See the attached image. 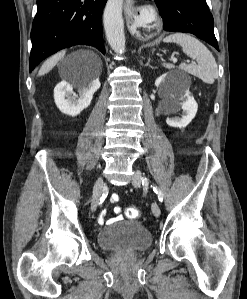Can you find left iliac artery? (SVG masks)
Returning <instances> with one entry per match:
<instances>
[{"instance_id": "44dca946", "label": "left iliac artery", "mask_w": 247, "mask_h": 299, "mask_svg": "<svg viewBox=\"0 0 247 299\" xmlns=\"http://www.w3.org/2000/svg\"><path fill=\"white\" fill-rule=\"evenodd\" d=\"M147 182V178L142 179L143 184ZM151 187L153 188V191L157 194L159 201L162 202L164 198L162 191L157 186L151 185Z\"/></svg>"}]
</instances>
